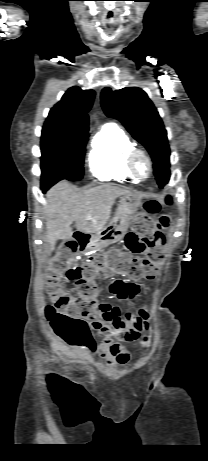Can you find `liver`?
Returning <instances> with one entry per match:
<instances>
[{"label": "liver", "instance_id": "1", "mask_svg": "<svg viewBox=\"0 0 208 461\" xmlns=\"http://www.w3.org/2000/svg\"><path fill=\"white\" fill-rule=\"evenodd\" d=\"M133 193L112 185L79 190L67 181L57 183L47 193L46 241L53 250L57 240L70 239L71 224L84 234L98 233L107 224L114 200Z\"/></svg>", "mask_w": 208, "mask_h": 461}]
</instances>
